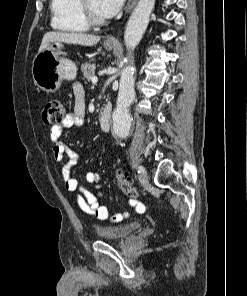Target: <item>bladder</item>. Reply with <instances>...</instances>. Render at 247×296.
Returning a JSON list of instances; mask_svg holds the SVG:
<instances>
[{"mask_svg": "<svg viewBox=\"0 0 247 296\" xmlns=\"http://www.w3.org/2000/svg\"><path fill=\"white\" fill-rule=\"evenodd\" d=\"M140 226V222L133 221L120 225L98 227L95 229V233L104 240H120L134 233Z\"/></svg>", "mask_w": 247, "mask_h": 296, "instance_id": "bladder-1", "label": "bladder"}]
</instances>
